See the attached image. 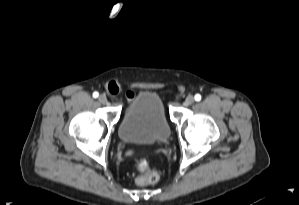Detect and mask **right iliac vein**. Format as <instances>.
I'll return each mask as SVG.
<instances>
[{
    "label": "right iliac vein",
    "instance_id": "right-iliac-vein-1",
    "mask_svg": "<svg viewBox=\"0 0 299 205\" xmlns=\"http://www.w3.org/2000/svg\"><path fill=\"white\" fill-rule=\"evenodd\" d=\"M98 100L101 104H106L107 103V98H106L105 95H100Z\"/></svg>",
    "mask_w": 299,
    "mask_h": 205
}]
</instances>
